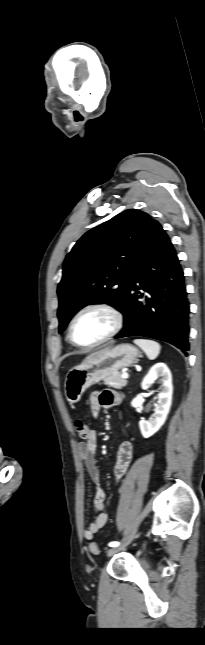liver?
Listing matches in <instances>:
<instances>
[{"instance_id": "obj_1", "label": "liver", "mask_w": 205, "mask_h": 645, "mask_svg": "<svg viewBox=\"0 0 205 645\" xmlns=\"http://www.w3.org/2000/svg\"><path fill=\"white\" fill-rule=\"evenodd\" d=\"M108 349H110V348H105V349H103V350H100V351H97V352H95V353L90 354L88 357H86V358H85L84 362H86V361L90 360V359H91V358H93L94 356H96V355H98V354H100V353H102V352H104V351H106V350H108ZM84 362H83V363H84Z\"/></svg>"}]
</instances>
